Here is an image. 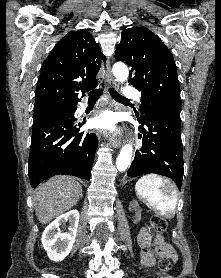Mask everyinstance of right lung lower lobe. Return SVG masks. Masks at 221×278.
<instances>
[{"label":"right lung lower lobe","mask_w":221,"mask_h":278,"mask_svg":"<svg viewBox=\"0 0 221 278\" xmlns=\"http://www.w3.org/2000/svg\"><path fill=\"white\" fill-rule=\"evenodd\" d=\"M70 102L76 111L77 102ZM72 117H54L33 126L28 175L35 188L58 174L90 179L98 139L94 133L80 132L81 124Z\"/></svg>","instance_id":"right-lung-lower-lobe-1"}]
</instances>
